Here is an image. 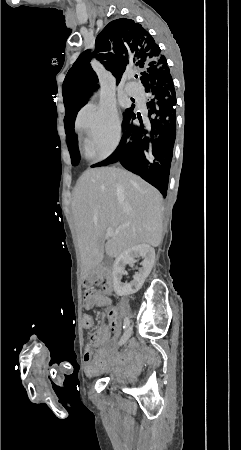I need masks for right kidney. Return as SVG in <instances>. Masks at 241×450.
<instances>
[{
  "label": "right kidney",
  "mask_w": 241,
  "mask_h": 450,
  "mask_svg": "<svg viewBox=\"0 0 241 450\" xmlns=\"http://www.w3.org/2000/svg\"><path fill=\"white\" fill-rule=\"evenodd\" d=\"M134 258H143L142 268L133 276L130 284H122L121 278L126 274L125 266L135 264ZM155 262V250L149 244H138L124 250L113 264V286L117 296H129L141 290L147 276H149Z\"/></svg>",
  "instance_id": "ca27d5eb"
}]
</instances>
